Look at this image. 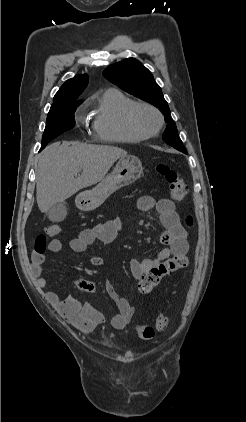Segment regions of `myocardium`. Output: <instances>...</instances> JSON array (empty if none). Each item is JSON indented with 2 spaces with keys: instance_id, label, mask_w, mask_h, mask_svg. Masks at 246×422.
<instances>
[{
  "instance_id": "obj_1",
  "label": "myocardium",
  "mask_w": 246,
  "mask_h": 422,
  "mask_svg": "<svg viewBox=\"0 0 246 422\" xmlns=\"http://www.w3.org/2000/svg\"><path fill=\"white\" fill-rule=\"evenodd\" d=\"M141 109H148L152 111L158 118V124L157 127L153 131H146L144 130L139 122H138V112ZM126 121L129 126V128L138 136L148 139L156 136L164 125V117L161 111L155 107L154 105L146 102H136L134 103L126 112Z\"/></svg>"
}]
</instances>
